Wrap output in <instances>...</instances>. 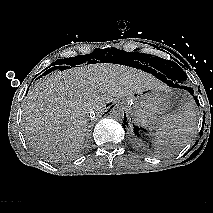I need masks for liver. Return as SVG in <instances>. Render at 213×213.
<instances>
[{"mask_svg":"<svg viewBox=\"0 0 213 213\" xmlns=\"http://www.w3.org/2000/svg\"><path fill=\"white\" fill-rule=\"evenodd\" d=\"M153 75L119 64L97 63L56 71L35 82L23 103L29 144L50 158H68L83 146L90 112L162 88Z\"/></svg>","mask_w":213,"mask_h":213,"instance_id":"obj_1","label":"liver"}]
</instances>
